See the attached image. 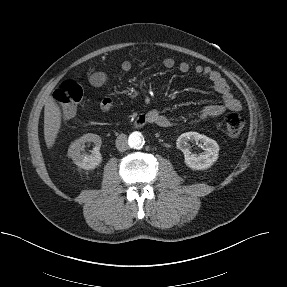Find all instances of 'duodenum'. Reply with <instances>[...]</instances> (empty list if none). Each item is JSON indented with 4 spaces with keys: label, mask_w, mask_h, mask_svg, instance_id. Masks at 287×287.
I'll use <instances>...</instances> for the list:
<instances>
[{
    "label": "duodenum",
    "mask_w": 287,
    "mask_h": 287,
    "mask_svg": "<svg viewBox=\"0 0 287 287\" xmlns=\"http://www.w3.org/2000/svg\"><path fill=\"white\" fill-rule=\"evenodd\" d=\"M150 123V118L146 115H140L136 120H135V127H142L145 124Z\"/></svg>",
    "instance_id": "duodenum-1"
}]
</instances>
